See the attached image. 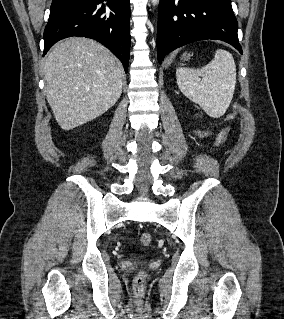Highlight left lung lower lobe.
<instances>
[{"mask_svg": "<svg viewBox=\"0 0 284 319\" xmlns=\"http://www.w3.org/2000/svg\"><path fill=\"white\" fill-rule=\"evenodd\" d=\"M238 22L231 0H160L158 10L157 57L159 63L178 47L217 39L235 47L241 54Z\"/></svg>", "mask_w": 284, "mask_h": 319, "instance_id": "0a47b994", "label": "left lung lower lobe"}]
</instances>
